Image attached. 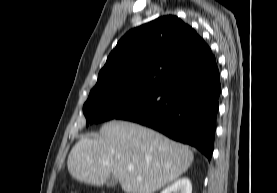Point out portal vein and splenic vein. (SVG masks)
<instances>
[{
	"label": "portal vein and splenic vein",
	"instance_id": "portal-vein-and-splenic-vein-1",
	"mask_svg": "<svg viewBox=\"0 0 277 193\" xmlns=\"http://www.w3.org/2000/svg\"><path fill=\"white\" fill-rule=\"evenodd\" d=\"M128 170H133V166L132 165H130V166H128Z\"/></svg>",
	"mask_w": 277,
	"mask_h": 193
}]
</instances>
